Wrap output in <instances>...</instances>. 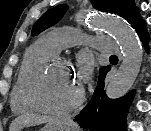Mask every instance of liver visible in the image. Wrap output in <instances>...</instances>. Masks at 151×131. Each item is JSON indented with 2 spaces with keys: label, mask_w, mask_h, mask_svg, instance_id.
Listing matches in <instances>:
<instances>
[{
  "label": "liver",
  "mask_w": 151,
  "mask_h": 131,
  "mask_svg": "<svg viewBox=\"0 0 151 131\" xmlns=\"http://www.w3.org/2000/svg\"><path fill=\"white\" fill-rule=\"evenodd\" d=\"M59 119L52 118L49 116H41L36 114H24L15 118L10 127L9 131H21V129L25 126H33L40 125L44 123H53L58 121Z\"/></svg>",
  "instance_id": "6515ba94"
}]
</instances>
